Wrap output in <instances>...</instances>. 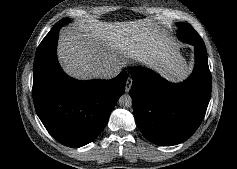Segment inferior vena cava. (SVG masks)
Returning a JSON list of instances; mask_svg holds the SVG:
<instances>
[{
	"label": "inferior vena cava",
	"instance_id": "1",
	"mask_svg": "<svg viewBox=\"0 0 237 169\" xmlns=\"http://www.w3.org/2000/svg\"><path fill=\"white\" fill-rule=\"evenodd\" d=\"M121 72L119 66H109L101 70L100 78L101 79H111L116 77Z\"/></svg>",
	"mask_w": 237,
	"mask_h": 169
}]
</instances>
